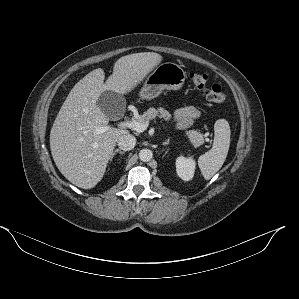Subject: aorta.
Listing matches in <instances>:
<instances>
[{
    "label": "aorta",
    "mask_w": 299,
    "mask_h": 299,
    "mask_svg": "<svg viewBox=\"0 0 299 299\" xmlns=\"http://www.w3.org/2000/svg\"><path fill=\"white\" fill-rule=\"evenodd\" d=\"M153 157V153L149 149H142L139 152V158L142 162H149Z\"/></svg>",
    "instance_id": "obj_1"
}]
</instances>
